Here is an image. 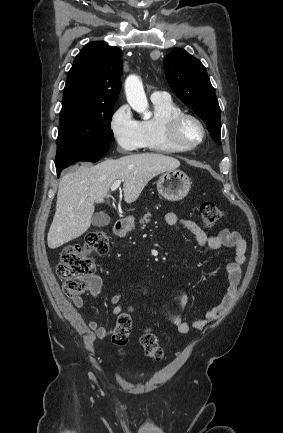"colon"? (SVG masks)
Wrapping results in <instances>:
<instances>
[{"instance_id":"1","label":"colon","mask_w":283,"mask_h":433,"mask_svg":"<svg viewBox=\"0 0 283 433\" xmlns=\"http://www.w3.org/2000/svg\"><path fill=\"white\" fill-rule=\"evenodd\" d=\"M201 222L205 227L215 226L223 217V210L214 202L204 201L199 207ZM110 237L106 231L97 230L87 234L83 244L71 245L63 249L57 265V273L64 280L63 289L70 297H78L88 288L87 278L95 270L92 254L103 255L109 251ZM133 320L130 312L118 315L112 332V343L123 349L129 340ZM140 344L144 353L153 360H160L165 350L160 346L158 337L146 329L140 337Z\"/></svg>"}]
</instances>
